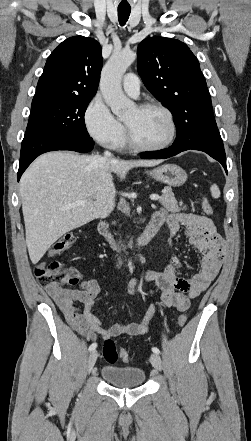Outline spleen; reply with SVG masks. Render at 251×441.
Listing matches in <instances>:
<instances>
[{
	"label": "spleen",
	"mask_w": 251,
	"mask_h": 441,
	"mask_svg": "<svg viewBox=\"0 0 251 441\" xmlns=\"http://www.w3.org/2000/svg\"><path fill=\"white\" fill-rule=\"evenodd\" d=\"M210 191H211V195L213 198L217 199L220 197L221 193H220L219 187L216 184L211 186Z\"/></svg>",
	"instance_id": "spleen-1"
}]
</instances>
